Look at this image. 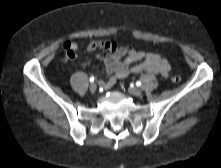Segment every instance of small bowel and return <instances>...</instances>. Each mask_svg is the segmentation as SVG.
I'll list each match as a JSON object with an SVG mask.
<instances>
[{
    "mask_svg": "<svg viewBox=\"0 0 221 168\" xmlns=\"http://www.w3.org/2000/svg\"><path fill=\"white\" fill-rule=\"evenodd\" d=\"M79 48L78 43L68 41L64 44L65 57L64 61L73 60L76 57V50ZM98 49L103 50L104 54H98L104 62L106 80L99 83L104 88H110L118 79L125 78L130 74L141 72H150L167 77L170 72L168 60L159 54L138 51L131 46H121L115 41H92L88 46L89 52ZM84 65L89 62L85 60Z\"/></svg>",
    "mask_w": 221,
    "mask_h": 168,
    "instance_id": "obj_1",
    "label": "small bowel"
}]
</instances>
